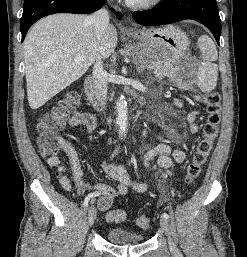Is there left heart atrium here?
<instances>
[{"mask_svg": "<svg viewBox=\"0 0 247 257\" xmlns=\"http://www.w3.org/2000/svg\"><path fill=\"white\" fill-rule=\"evenodd\" d=\"M126 1H128V2H132V1H137V0H126Z\"/></svg>", "mask_w": 247, "mask_h": 257, "instance_id": "obj_1", "label": "left heart atrium"}]
</instances>
